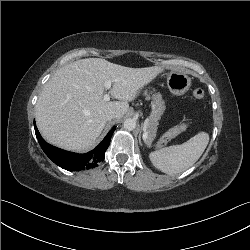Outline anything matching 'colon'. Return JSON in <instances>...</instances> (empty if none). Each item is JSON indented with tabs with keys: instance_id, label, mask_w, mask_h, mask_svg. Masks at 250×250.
Returning a JSON list of instances; mask_svg holds the SVG:
<instances>
[{
	"instance_id": "1",
	"label": "colon",
	"mask_w": 250,
	"mask_h": 250,
	"mask_svg": "<svg viewBox=\"0 0 250 250\" xmlns=\"http://www.w3.org/2000/svg\"><path fill=\"white\" fill-rule=\"evenodd\" d=\"M193 97L197 100H200L204 97V90L202 88H196L193 90ZM188 128L187 123L179 124L170 130H168L160 139L158 142V145L156 147V150L153 151L154 157H159L160 153L163 152V146H165L168 142H170L174 137L179 135L180 133L186 131Z\"/></svg>"
}]
</instances>
